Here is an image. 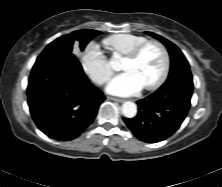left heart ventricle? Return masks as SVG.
I'll return each mask as SVG.
<instances>
[{
	"mask_svg": "<svg viewBox=\"0 0 222 187\" xmlns=\"http://www.w3.org/2000/svg\"><path fill=\"white\" fill-rule=\"evenodd\" d=\"M163 62L161 50L156 46H148L137 60L124 59L122 69L132 72L144 87L160 76Z\"/></svg>",
	"mask_w": 222,
	"mask_h": 187,
	"instance_id": "left-heart-ventricle-1",
	"label": "left heart ventricle"
}]
</instances>
